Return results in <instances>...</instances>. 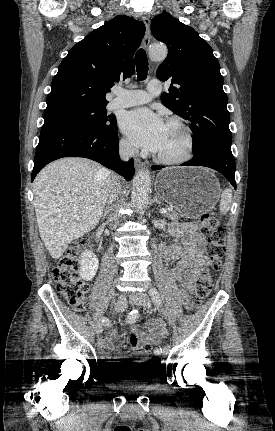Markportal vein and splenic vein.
<instances>
[{"instance_id":"18ae733b","label":"portal vein and splenic vein","mask_w":275,"mask_h":431,"mask_svg":"<svg viewBox=\"0 0 275 431\" xmlns=\"http://www.w3.org/2000/svg\"><path fill=\"white\" fill-rule=\"evenodd\" d=\"M168 211H169L168 209H166V208H162V209L160 210V213L165 214V213H167Z\"/></svg>"}]
</instances>
